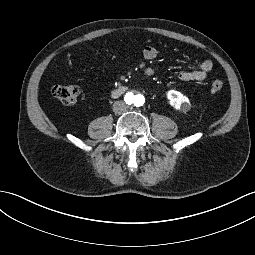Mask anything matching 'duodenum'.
<instances>
[{
    "instance_id": "duodenum-1",
    "label": "duodenum",
    "mask_w": 255,
    "mask_h": 255,
    "mask_svg": "<svg viewBox=\"0 0 255 255\" xmlns=\"http://www.w3.org/2000/svg\"><path fill=\"white\" fill-rule=\"evenodd\" d=\"M125 90H126V87H124V86H117V87L114 88V90L112 91V94H113L114 96H116V95H119V94L123 93Z\"/></svg>"
}]
</instances>
